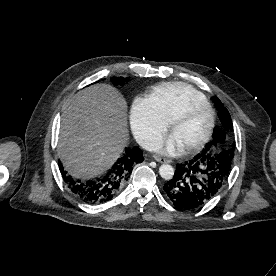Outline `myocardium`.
I'll return each mask as SVG.
<instances>
[{
	"instance_id": "obj_1",
	"label": "myocardium",
	"mask_w": 276,
	"mask_h": 276,
	"mask_svg": "<svg viewBox=\"0 0 276 276\" xmlns=\"http://www.w3.org/2000/svg\"><path fill=\"white\" fill-rule=\"evenodd\" d=\"M199 104H203L209 110L210 121L208 124V128H207L206 132L204 133V135L202 136V138L199 141H197L196 143L185 148V150L187 152H196V151L200 150L210 140L211 135L214 130L215 120H216V112H215L214 107L211 105V103L207 99H194V100L189 101L185 105V107L183 109H181L177 114H175L169 122L170 129H171V131H173L175 126L180 121H182L184 118H186L189 115V113L191 112V110Z\"/></svg>"
}]
</instances>
